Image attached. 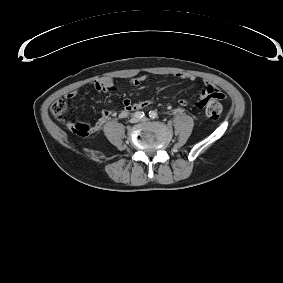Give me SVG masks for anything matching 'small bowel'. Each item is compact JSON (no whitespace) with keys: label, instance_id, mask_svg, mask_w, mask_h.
<instances>
[{"label":"small bowel","instance_id":"1","mask_svg":"<svg viewBox=\"0 0 283 283\" xmlns=\"http://www.w3.org/2000/svg\"><path fill=\"white\" fill-rule=\"evenodd\" d=\"M179 79L183 80H189V81H194L195 76L192 74H186V73H178L175 75ZM147 80L146 76H141L139 78H136L130 82L131 85L138 87L142 85L144 81ZM95 87L99 90V92H111V91H117L118 88L114 85V83L109 80V79H103V80H98L95 82ZM79 90H72L68 92L65 96L68 99L74 98L78 94ZM220 91L211 83L205 82L203 86L201 87V90L199 92L198 97L193 100L192 102H189L185 99H180L179 100V105L181 107L185 106H192L196 109H207V107L217 99L216 94H218ZM152 100H143L139 101L136 103H132L129 99H125L123 101V109L121 111L120 116L125 117L127 116L130 112L137 111V110H142L147 107H149L152 104ZM115 112L111 110H103L101 113L100 118L98 119L97 122L91 125L92 131L97 132L99 131L102 126L112 117L114 116Z\"/></svg>","mask_w":283,"mask_h":283}]
</instances>
